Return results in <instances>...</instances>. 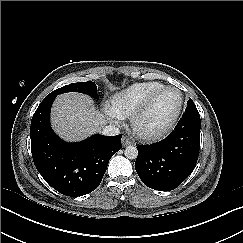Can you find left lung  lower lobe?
I'll list each match as a JSON object with an SVG mask.
<instances>
[{"mask_svg":"<svg viewBox=\"0 0 243 243\" xmlns=\"http://www.w3.org/2000/svg\"><path fill=\"white\" fill-rule=\"evenodd\" d=\"M200 127L198 110L187 109L165 139L137 146L135 169L147 187L170 191L192 173L199 156Z\"/></svg>","mask_w":243,"mask_h":243,"instance_id":"1","label":"left lung lower lobe"}]
</instances>
